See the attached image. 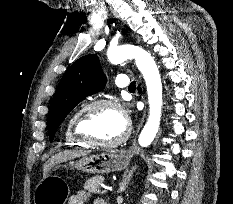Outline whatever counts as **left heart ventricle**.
Segmentation results:
<instances>
[{
  "label": "left heart ventricle",
  "mask_w": 233,
  "mask_h": 204,
  "mask_svg": "<svg viewBox=\"0 0 233 204\" xmlns=\"http://www.w3.org/2000/svg\"><path fill=\"white\" fill-rule=\"evenodd\" d=\"M123 116L114 108L100 107L90 111L84 118L81 130L97 141H111L125 130Z\"/></svg>",
  "instance_id": "obj_1"
}]
</instances>
